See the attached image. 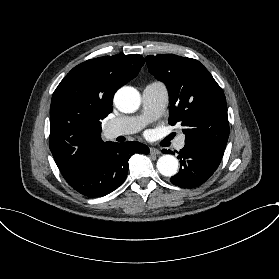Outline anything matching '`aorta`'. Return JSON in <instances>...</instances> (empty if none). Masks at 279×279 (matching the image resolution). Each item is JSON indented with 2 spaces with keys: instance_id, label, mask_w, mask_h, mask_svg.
<instances>
[{
  "instance_id": "obj_1",
  "label": "aorta",
  "mask_w": 279,
  "mask_h": 279,
  "mask_svg": "<svg viewBox=\"0 0 279 279\" xmlns=\"http://www.w3.org/2000/svg\"><path fill=\"white\" fill-rule=\"evenodd\" d=\"M114 103L118 110L132 113L140 106V94L132 87L120 88L114 96ZM157 169L163 176H174L178 171V160L173 155L165 154L158 159Z\"/></svg>"
}]
</instances>
